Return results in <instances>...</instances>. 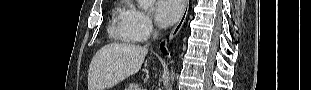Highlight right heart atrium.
<instances>
[{
    "instance_id": "d8ad5b80",
    "label": "right heart atrium",
    "mask_w": 311,
    "mask_h": 90,
    "mask_svg": "<svg viewBox=\"0 0 311 90\" xmlns=\"http://www.w3.org/2000/svg\"><path fill=\"white\" fill-rule=\"evenodd\" d=\"M126 25L137 41L148 39L155 31V23L150 15L134 6L127 10Z\"/></svg>"
}]
</instances>
